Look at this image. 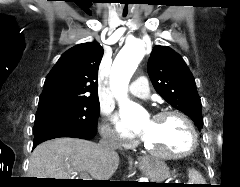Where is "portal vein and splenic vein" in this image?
Wrapping results in <instances>:
<instances>
[{"mask_svg": "<svg viewBox=\"0 0 240 187\" xmlns=\"http://www.w3.org/2000/svg\"><path fill=\"white\" fill-rule=\"evenodd\" d=\"M73 174H74V173H73ZM75 175H76V174H74V176H75ZM80 178L83 179V180H92V178H90V177L88 176V174L85 173V172L81 173Z\"/></svg>", "mask_w": 240, "mask_h": 187, "instance_id": "18ae733b", "label": "portal vein and splenic vein"}]
</instances>
